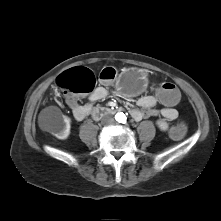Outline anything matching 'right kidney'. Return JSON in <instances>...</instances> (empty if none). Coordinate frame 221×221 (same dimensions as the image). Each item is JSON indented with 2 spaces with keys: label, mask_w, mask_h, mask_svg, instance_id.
<instances>
[{
  "label": "right kidney",
  "mask_w": 221,
  "mask_h": 221,
  "mask_svg": "<svg viewBox=\"0 0 221 221\" xmlns=\"http://www.w3.org/2000/svg\"><path fill=\"white\" fill-rule=\"evenodd\" d=\"M71 119L67 116H62L57 119L50 127V133L58 139H67L70 135Z\"/></svg>",
  "instance_id": "1"
}]
</instances>
